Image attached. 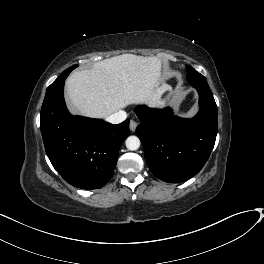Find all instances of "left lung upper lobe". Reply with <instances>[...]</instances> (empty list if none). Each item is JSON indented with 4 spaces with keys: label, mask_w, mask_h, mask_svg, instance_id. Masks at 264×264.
<instances>
[{
    "label": "left lung upper lobe",
    "mask_w": 264,
    "mask_h": 264,
    "mask_svg": "<svg viewBox=\"0 0 264 264\" xmlns=\"http://www.w3.org/2000/svg\"><path fill=\"white\" fill-rule=\"evenodd\" d=\"M186 68H187V73H188V79H205L203 75H201L191 66H186Z\"/></svg>",
    "instance_id": "left-lung-upper-lobe-1"
}]
</instances>
